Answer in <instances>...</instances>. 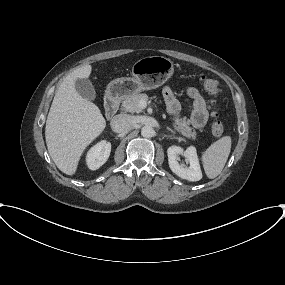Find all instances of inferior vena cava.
<instances>
[{"instance_id": "602c4592", "label": "inferior vena cava", "mask_w": 285, "mask_h": 285, "mask_svg": "<svg viewBox=\"0 0 285 285\" xmlns=\"http://www.w3.org/2000/svg\"><path fill=\"white\" fill-rule=\"evenodd\" d=\"M110 124L116 133L128 132L134 125V119L128 114H118L113 117Z\"/></svg>"}]
</instances>
